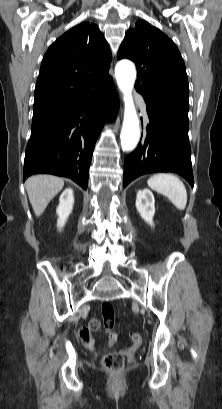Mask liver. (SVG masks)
I'll return each instance as SVG.
<instances>
[{
  "label": "liver",
  "mask_w": 222,
  "mask_h": 409,
  "mask_svg": "<svg viewBox=\"0 0 222 409\" xmlns=\"http://www.w3.org/2000/svg\"><path fill=\"white\" fill-rule=\"evenodd\" d=\"M64 180L52 175H36L26 180L25 187L36 216H40L49 202L62 190Z\"/></svg>",
  "instance_id": "obj_1"
}]
</instances>
